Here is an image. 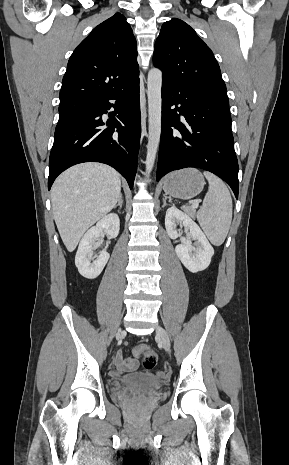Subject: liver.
Segmentation results:
<instances>
[{"label":"liver","instance_id":"6515ba94","mask_svg":"<svg viewBox=\"0 0 289 465\" xmlns=\"http://www.w3.org/2000/svg\"><path fill=\"white\" fill-rule=\"evenodd\" d=\"M121 191L119 173L101 163H82L63 172L51 189L53 216L69 252L85 231L116 205Z\"/></svg>","mask_w":289,"mask_h":465}]
</instances>
